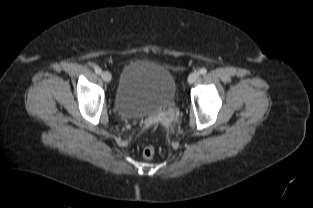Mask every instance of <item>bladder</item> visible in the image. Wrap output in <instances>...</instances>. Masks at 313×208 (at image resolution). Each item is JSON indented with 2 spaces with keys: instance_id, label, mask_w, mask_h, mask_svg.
<instances>
[{
  "instance_id": "31cf9c89",
  "label": "bladder",
  "mask_w": 313,
  "mask_h": 208,
  "mask_svg": "<svg viewBox=\"0 0 313 208\" xmlns=\"http://www.w3.org/2000/svg\"><path fill=\"white\" fill-rule=\"evenodd\" d=\"M175 95L176 81L166 68L148 61H133L121 72L114 106L121 117L145 118L170 105Z\"/></svg>"
}]
</instances>
